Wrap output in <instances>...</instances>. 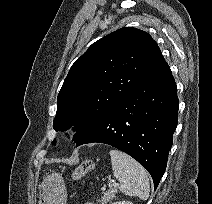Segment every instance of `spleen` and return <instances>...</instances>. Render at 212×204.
I'll use <instances>...</instances> for the list:
<instances>
[{
	"instance_id": "obj_1",
	"label": "spleen",
	"mask_w": 212,
	"mask_h": 204,
	"mask_svg": "<svg viewBox=\"0 0 212 204\" xmlns=\"http://www.w3.org/2000/svg\"><path fill=\"white\" fill-rule=\"evenodd\" d=\"M114 176L120 181L122 193L147 200L150 192L148 175L143 166L122 151H110Z\"/></svg>"
}]
</instances>
